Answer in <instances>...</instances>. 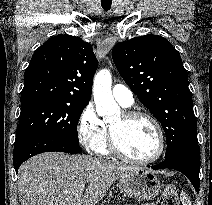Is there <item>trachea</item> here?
Returning <instances> with one entry per match:
<instances>
[{"instance_id": "3493384b", "label": "trachea", "mask_w": 212, "mask_h": 205, "mask_svg": "<svg viewBox=\"0 0 212 205\" xmlns=\"http://www.w3.org/2000/svg\"><path fill=\"white\" fill-rule=\"evenodd\" d=\"M102 8H103L105 11H108V10L111 8V4H102Z\"/></svg>"}]
</instances>
